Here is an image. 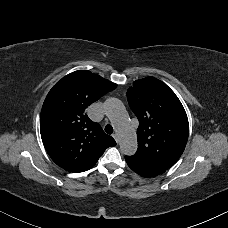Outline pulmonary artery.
Returning <instances> with one entry per match:
<instances>
[{
	"label": "pulmonary artery",
	"mask_w": 228,
	"mask_h": 228,
	"mask_svg": "<svg viewBox=\"0 0 228 228\" xmlns=\"http://www.w3.org/2000/svg\"><path fill=\"white\" fill-rule=\"evenodd\" d=\"M106 116H107V118H108V115H107V112H106ZM109 119V118H108ZM110 120V119H109Z\"/></svg>",
	"instance_id": "pulmonary-artery-1"
}]
</instances>
